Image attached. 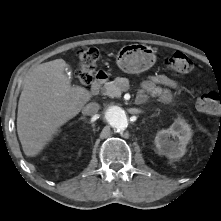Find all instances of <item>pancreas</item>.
Masks as SVG:
<instances>
[{"label":"pancreas","mask_w":221,"mask_h":221,"mask_svg":"<svg viewBox=\"0 0 221 221\" xmlns=\"http://www.w3.org/2000/svg\"><path fill=\"white\" fill-rule=\"evenodd\" d=\"M128 79L116 78L114 81L106 83L102 88V93L109 97H119L122 92L128 90ZM151 97H158V101L163 104H170L174 102V96L171 90L155 86L150 90Z\"/></svg>","instance_id":"obj_1"}]
</instances>
